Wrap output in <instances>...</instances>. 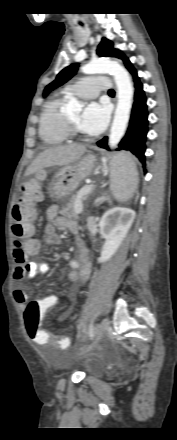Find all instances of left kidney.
<instances>
[{
    "mask_svg": "<svg viewBox=\"0 0 177 440\" xmlns=\"http://www.w3.org/2000/svg\"><path fill=\"white\" fill-rule=\"evenodd\" d=\"M130 215V211L121 207L112 208L103 215L100 227L102 231L108 230L109 234L102 248L101 256L98 258L99 263L110 260L117 252L130 227L129 222H127Z\"/></svg>",
    "mask_w": 177,
    "mask_h": 440,
    "instance_id": "obj_1",
    "label": "left kidney"
}]
</instances>
